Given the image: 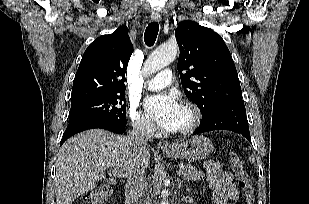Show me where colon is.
<instances>
[{
    "mask_svg": "<svg viewBox=\"0 0 309 204\" xmlns=\"http://www.w3.org/2000/svg\"><path fill=\"white\" fill-rule=\"evenodd\" d=\"M230 165L233 169L238 185L244 193L246 204H253L255 189L236 152L230 153ZM110 195L111 189L109 187H101L85 195L82 201L84 204H101L105 202Z\"/></svg>",
    "mask_w": 309,
    "mask_h": 204,
    "instance_id": "5ec220e1",
    "label": "colon"
}]
</instances>
